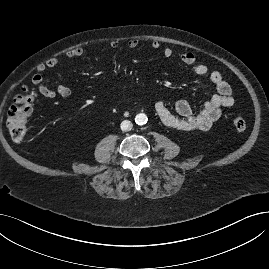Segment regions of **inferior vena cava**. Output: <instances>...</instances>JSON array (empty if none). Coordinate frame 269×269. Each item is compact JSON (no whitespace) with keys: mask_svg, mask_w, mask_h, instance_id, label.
Wrapping results in <instances>:
<instances>
[{"mask_svg":"<svg viewBox=\"0 0 269 269\" xmlns=\"http://www.w3.org/2000/svg\"><path fill=\"white\" fill-rule=\"evenodd\" d=\"M132 123L128 120H124L122 123H121V130L122 131H130L132 129Z\"/></svg>","mask_w":269,"mask_h":269,"instance_id":"602c4592","label":"inferior vena cava"}]
</instances>
